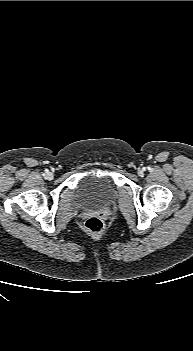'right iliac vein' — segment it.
<instances>
[{
	"mask_svg": "<svg viewBox=\"0 0 193 351\" xmlns=\"http://www.w3.org/2000/svg\"><path fill=\"white\" fill-rule=\"evenodd\" d=\"M46 178H47L48 180H52V179L54 178L53 173H52V172H48V173L46 174Z\"/></svg>",
	"mask_w": 193,
	"mask_h": 351,
	"instance_id": "obj_1",
	"label": "right iliac vein"
}]
</instances>
